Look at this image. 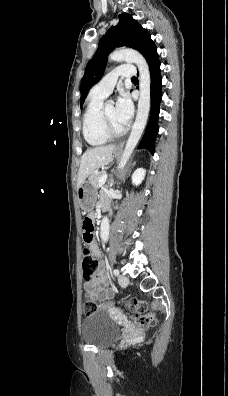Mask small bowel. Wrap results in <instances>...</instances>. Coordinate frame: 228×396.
Returning <instances> with one entry per match:
<instances>
[{"label":"small bowel","instance_id":"c3829d8e","mask_svg":"<svg viewBox=\"0 0 228 396\" xmlns=\"http://www.w3.org/2000/svg\"><path fill=\"white\" fill-rule=\"evenodd\" d=\"M108 204V199L105 196H101L100 198V205ZM90 250L95 257L101 256V251L95 241L90 244ZM108 283L107 276L105 271L101 265L98 272L95 275L94 282L92 284L85 285V291L88 295L92 296L93 298L99 301H106L112 296V292L106 288ZM103 308H107L108 305L106 303L102 304Z\"/></svg>","mask_w":228,"mask_h":396}]
</instances>
